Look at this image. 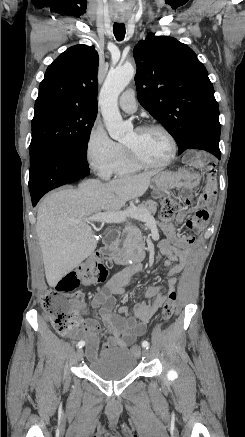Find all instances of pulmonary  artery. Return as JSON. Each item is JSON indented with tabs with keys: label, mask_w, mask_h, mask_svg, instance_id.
<instances>
[{
	"label": "pulmonary artery",
	"mask_w": 245,
	"mask_h": 437,
	"mask_svg": "<svg viewBox=\"0 0 245 437\" xmlns=\"http://www.w3.org/2000/svg\"><path fill=\"white\" fill-rule=\"evenodd\" d=\"M119 106L122 110L132 113L137 108V101L135 99V92L133 89H128L123 92L119 98Z\"/></svg>",
	"instance_id": "pulmonary-artery-1"
}]
</instances>
